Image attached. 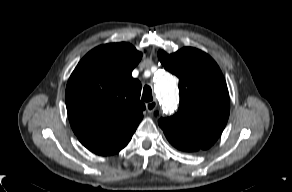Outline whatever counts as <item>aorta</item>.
<instances>
[{
	"instance_id": "762f6f07",
	"label": "aorta",
	"mask_w": 292,
	"mask_h": 192,
	"mask_svg": "<svg viewBox=\"0 0 292 192\" xmlns=\"http://www.w3.org/2000/svg\"><path fill=\"white\" fill-rule=\"evenodd\" d=\"M155 92L164 108L173 110L178 102V92L171 76L162 71L155 78Z\"/></svg>"
}]
</instances>
